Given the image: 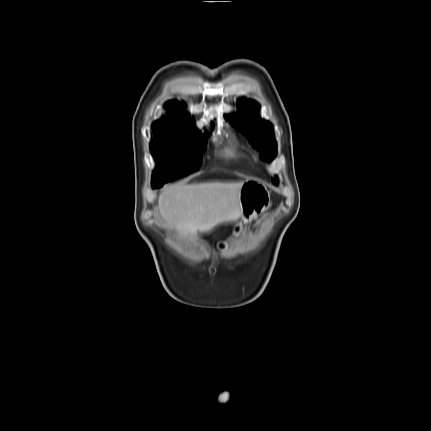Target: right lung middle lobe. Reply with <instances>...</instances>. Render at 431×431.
<instances>
[{"mask_svg":"<svg viewBox=\"0 0 431 431\" xmlns=\"http://www.w3.org/2000/svg\"><path fill=\"white\" fill-rule=\"evenodd\" d=\"M151 153L157 162L152 185L157 187L197 171L206 142L195 131L153 126Z\"/></svg>","mask_w":431,"mask_h":431,"instance_id":"obj_1","label":"right lung middle lobe"}]
</instances>
